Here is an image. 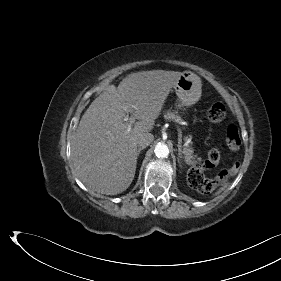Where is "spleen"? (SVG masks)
Masks as SVG:
<instances>
[{
	"mask_svg": "<svg viewBox=\"0 0 281 281\" xmlns=\"http://www.w3.org/2000/svg\"><path fill=\"white\" fill-rule=\"evenodd\" d=\"M227 186H228V184H225L223 187H221V188L219 189V191L217 192V194H219V193H221L222 191H224L225 188H227Z\"/></svg>",
	"mask_w": 281,
	"mask_h": 281,
	"instance_id": "1",
	"label": "spleen"
}]
</instances>
